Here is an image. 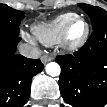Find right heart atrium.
<instances>
[{"mask_svg":"<svg viewBox=\"0 0 107 107\" xmlns=\"http://www.w3.org/2000/svg\"><path fill=\"white\" fill-rule=\"evenodd\" d=\"M23 36L26 40L30 41V42H34L33 39L26 33H23Z\"/></svg>","mask_w":107,"mask_h":107,"instance_id":"obj_1","label":"right heart atrium"}]
</instances>
